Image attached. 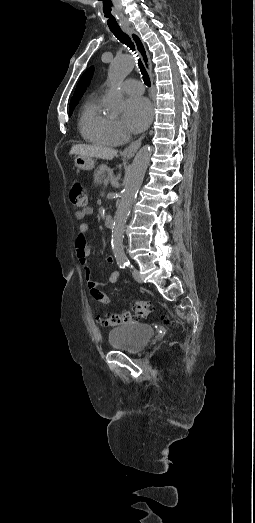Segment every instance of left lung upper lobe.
I'll return each instance as SVG.
<instances>
[{
  "mask_svg": "<svg viewBox=\"0 0 255 523\" xmlns=\"http://www.w3.org/2000/svg\"><path fill=\"white\" fill-rule=\"evenodd\" d=\"M93 72H94V68L90 67L81 76V78H80V80H79V82L77 84L76 90H75V92L73 94V97H72V99L70 101L69 116H71L75 106L79 103V100L83 96L87 86L89 85V83L91 81V78L93 76Z\"/></svg>",
  "mask_w": 255,
  "mask_h": 523,
  "instance_id": "5c2ea615",
  "label": "left lung upper lobe"
}]
</instances>
